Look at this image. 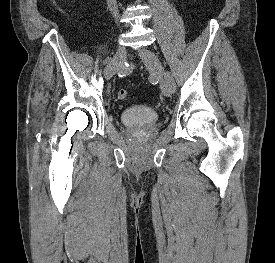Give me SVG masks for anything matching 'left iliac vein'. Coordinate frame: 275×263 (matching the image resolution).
Here are the masks:
<instances>
[{
  "label": "left iliac vein",
  "instance_id": "4c4485c4",
  "mask_svg": "<svg viewBox=\"0 0 275 263\" xmlns=\"http://www.w3.org/2000/svg\"><path fill=\"white\" fill-rule=\"evenodd\" d=\"M138 53L147 70L160 79L162 94L166 97L171 96L174 90L169 82L164 79V67L158 56L147 48L139 49Z\"/></svg>",
  "mask_w": 275,
  "mask_h": 263
}]
</instances>
